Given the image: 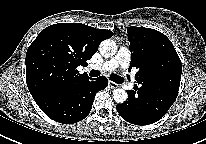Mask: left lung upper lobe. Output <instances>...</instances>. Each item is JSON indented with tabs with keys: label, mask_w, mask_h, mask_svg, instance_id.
Segmentation results:
<instances>
[{
	"label": "left lung upper lobe",
	"mask_w": 206,
	"mask_h": 144,
	"mask_svg": "<svg viewBox=\"0 0 206 144\" xmlns=\"http://www.w3.org/2000/svg\"><path fill=\"white\" fill-rule=\"evenodd\" d=\"M131 69H136L135 81L144 85L147 93L173 90L178 93L182 64L172 42L161 32L143 27H128Z\"/></svg>",
	"instance_id": "left-lung-upper-lobe-1"
}]
</instances>
